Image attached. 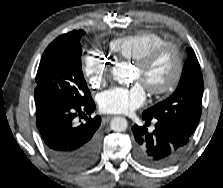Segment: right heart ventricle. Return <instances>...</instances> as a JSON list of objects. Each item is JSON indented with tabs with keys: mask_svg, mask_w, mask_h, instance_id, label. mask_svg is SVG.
<instances>
[{
	"mask_svg": "<svg viewBox=\"0 0 223 188\" xmlns=\"http://www.w3.org/2000/svg\"><path fill=\"white\" fill-rule=\"evenodd\" d=\"M164 41L165 39L158 33L141 31L111 40L109 49L122 58L136 61Z\"/></svg>",
	"mask_w": 223,
	"mask_h": 188,
	"instance_id": "right-heart-ventricle-1",
	"label": "right heart ventricle"
}]
</instances>
